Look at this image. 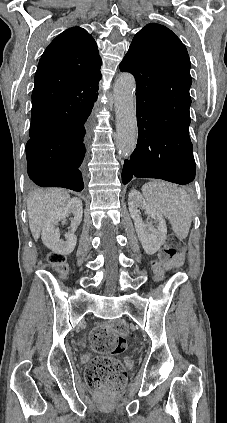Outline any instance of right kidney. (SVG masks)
Returning <instances> with one entry per match:
<instances>
[{"label":"right kidney","mask_w":227,"mask_h":423,"mask_svg":"<svg viewBox=\"0 0 227 423\" xmlns=\"http://www.w3.org/2000/svg\"><path fill=\"white\" fill-rule=\"evenodd\" d=\"M70 213H73V217H71L70 231L65 233L66 241H64V239H60L59 227H56V225H58V221H61ZM82 213L83 206L79 198H72L63 208H56V210L51 211L42 227L41 239L44 245L52 249L54 253H61V255L71 253L77 241L74 231L82 221Z\"/></svg>","instance_id":"obj_1"}]
</instances>
